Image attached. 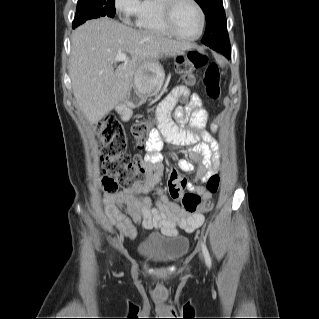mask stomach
Instances as JSON below:
<instances>
[{
    "label": "stomach",
    "instance_id": "0dacf381",
    "mask_svg": "<svg viewBox=\"0 0 319 319\" xmlns=\"http://www.w3.org/2000/svg\"><path fill=\"white\" fill-rule=\"evenodd\" d=\"M164 77V70L157 60L143 62L136 70L133 80L138 97L145 99L156 95L163 85Z\"/></svg>",
    "mask_w": 319,
    "mask_h": 319
}]
</instances>
